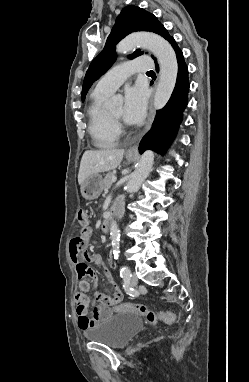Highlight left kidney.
<instances>
[{"label": "left kidney", "mask_w": 249, "mask_h": 382, "mask_svg": "<svg viewBox=\"0 0 249 382\" xmlns=\"http://www.w3.org/2000/svg\"><path fill=\"white\" fill-rule=\"evenodd\" d=\"M110 260H96L95 261V266L96 267H114L115 266V255H110Z\"/></svg>", "instance_id": "5707ae66"}]
</instances>
